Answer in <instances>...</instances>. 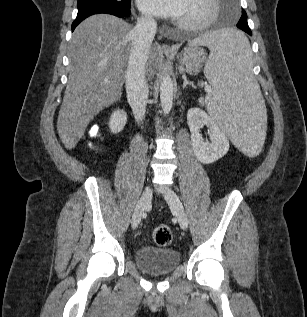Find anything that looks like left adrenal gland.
<instances>
[{"mask_svg": "<svg viewBox=\"0 0 307 317\" xmlns=\"http://www.w3.org/2000/svg\"><path fill=\"white\" fill-rule=\"evenodd\" d=\"M183 89H185L188 85L194 88V84L187 80L186 75H183Z\"/></svg>", "mask_w": 307, "mask_h": 317, "instance_id": "left-adrenal-gland-1", "label": "left adrenal gland"}]
</instances>
